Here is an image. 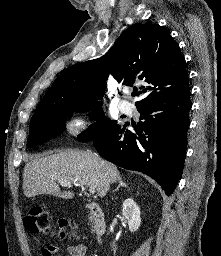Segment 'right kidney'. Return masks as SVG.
<instances>
[{
    "label": "right kidney",
    "instance_id": "ca27d5eb",
    "mask_svg": "<svg viewBox=\"0 0 221 256\" xmlns=\"http://www.w3.org/2000/svg\"><path fill=\"white\" fill-rule=\"evenodd\" d=\"M122 215L128 220L129 230L136 232L141 225L140 209L132 198L123 202Z\"/></svg>",
    "mask_w": 221,
    "mask_h": 256
}]
</instances>
